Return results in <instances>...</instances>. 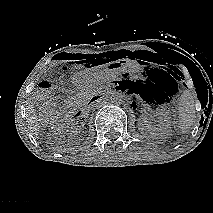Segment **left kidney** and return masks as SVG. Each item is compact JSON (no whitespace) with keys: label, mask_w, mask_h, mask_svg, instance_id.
<instances>
[{"label":"left kidney","mask_w":213,"mask_h":213,"mask_svg":"<svg viewBox=\"0 0 213 213\" xmlns=\"http://www.w3.org/2000/svg\"><path fill=\"white\" fill-rule=\"evenodd\" d=\"M151 113L157 119V123L150 125L145 118H141L139 120L141 132L160 138L167 137L171 131V120L167 109L157 108L152 110Z\"/></svg>","instance_id":"5707ae66"}]
</instances>
